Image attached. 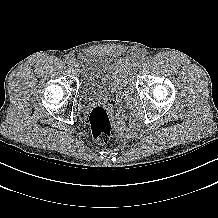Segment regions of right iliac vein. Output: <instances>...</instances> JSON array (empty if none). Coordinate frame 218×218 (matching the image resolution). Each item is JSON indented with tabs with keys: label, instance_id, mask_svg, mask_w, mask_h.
I'll return each mask as SVG.
<instances>
[{
	"label": "right iliac vein",
	"instance_id": "right-iliac-vein-1",
	"mask_svg": "<svg viewBox=\"0 0 218 218\" xmlns=\"http://www.w3.org/2000/svg\"><path fill=\"white\" fill-rule=\"evenodd\" d=\"M70 66H71V69L76 72L79 67L78 61L76 59H73Z\"/></svg>",
	"mask_w": 218,
	"mask_h": 218
}]
</instances>
